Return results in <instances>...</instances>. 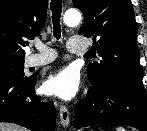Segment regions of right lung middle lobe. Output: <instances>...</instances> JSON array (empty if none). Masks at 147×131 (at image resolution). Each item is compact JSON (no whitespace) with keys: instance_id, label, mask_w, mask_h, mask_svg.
Returning a JSON list of instances; mask_svg holds the SVG:
<instances>
[{"instance_id":"right-lung-middle-lobe-1","label":"right lung middle lobe","mask_w":147,"mask_h":131,"mask_svg":"<svg viewBox=\"0 0 147 131\" xmlns=\"http://www.w3.org/2000/svg\"><path fill=\"white\" fill-rule=\"evenodd\" d=\"M24 76V59L0 57V79L21 80Z\"/></svg>"}]
</instances>
